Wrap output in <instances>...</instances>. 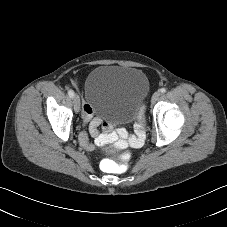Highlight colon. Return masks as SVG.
Here are the masks:
<instances>
[{"mask_svg":"<svg viewBox=\"0 0 227 227\" xmlns=\"http://www.w3.org/2000/svg\"><path fill=\"white\" fill-rule=\"evenodd\" d=\"M117 159H118V162H119L120 172H125L126 169H127V163H126V161L123 160L122 154H119Z\"/></svg>","mask_w":227,"mask_h":227,"instance_id":"colon-1","label":"colon"}]
</instances>
